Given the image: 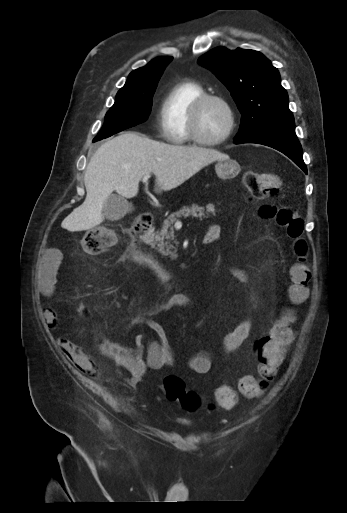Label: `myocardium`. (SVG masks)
I'll return each instance as SVG.
<instances>
[{
	"label": "myocardium",
	"mask_w": 347,
	"mask_h": 513,
	"mask_svg": "<svg viewBox=\"0 0 347 513\" xmlns=\"http://www.w3.org/2000/svg\"><path fill=\"white\" fill-rule=\"evenodd\" d=\"M215 101L224 106L228 113L229 124L226 132L217 139L204 138L199 131L201 112L206 103ZM236 127V113L231 103L223 96L212 93H205L199 96L191 105L188 114V131L191 141L203 146H217L227 141L233 134Z\"/></svg>",
	"instance_id": "1"
}]
</instances>
